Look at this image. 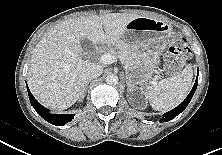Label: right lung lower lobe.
I'll return each mask as SVG.
<instances>
[{"instance_id":"1","label":"right lung lower lobe","mask_w":222,"mask_h":155,"mask_svg":"<svg viewBox=\"0 0 222 155\" xmlns=\"http://www.w3.org/2000/svg\"><path fill=\"white\" fill-rule=\"evenodd\" d=\"M27 89H28L30 103L32 104L36 112L47 122L57 126H62L65 125L67 122L72 121V119L74 118V114L61 115V114L49 113L48 109H46L44 106H42L37 102V100L33 97L31 92L29 91L28 87Z\"/></svg>"}]
</instances>
